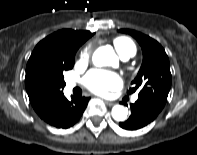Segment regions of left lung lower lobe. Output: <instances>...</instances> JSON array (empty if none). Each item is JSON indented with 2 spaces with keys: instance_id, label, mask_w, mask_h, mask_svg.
<instances>
[{
  "instance_id": "0a47b994",
  "label": "left lung lower lobe",
  "mask_w": 197,
  "mask_h": 155,
  "mask_svg": "<svg viewBox=\"0 0 197 155\" xmlns=\"http://www.w3.org/2000/svg\"><path fill=\"white\" fill-rule=\"evenodd\" d=\"M162 108L151 102L138 99L131 104V116L125 122H120L119 126L127 130H137L151 123L161 112Z\"/></svg>"
}]
</instances>
